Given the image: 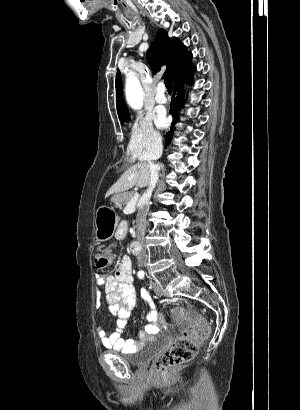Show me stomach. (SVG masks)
Here are the masks:
<instances>
[{
  "label": "stomach",
  "mask_w": 300,
  "mask_h": 410,
  "mask_svg": "<svg viewBox=\"0 0 300 410\" xmlns=\"http://www.w3.org/2000/svg\"><path fill=\"white\" fill-rule=\"evenodd\" d=\"M118 196L119 194L112 197L114 203ZM118 222L119 218L113 208L107 206L100 207L95 219L97 240L102 242L109 240L114 235Z\"/></svg>",
  "instance_id": "stomach-1"
}]
</instances>
